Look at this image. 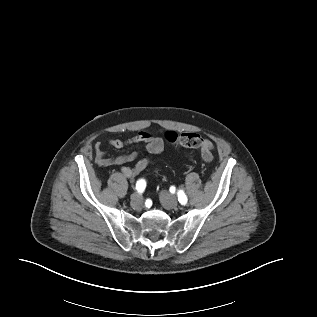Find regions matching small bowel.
<instances>
[{"instance_id":"small-bowel-1","label":"small bowel","mask_w":317,"mask_h":317,"mask_svg":"<svg viewBox=\"0 0 317 317\" xmlns=\"http://www.w3.org/2000/svg\"><path fill=\"white\" fill-rule=\"evenodd\" d=\"M143 143L146 144L150 152L156 154L160 153L164 149V141L160 137L153 136L147 131H140L137 135L128 139L111 138L108 140V144L116 149H121L129 145ZM212 143L203 139V143L200 146V152L204 160L210 161L212 159ZM139 153L132 151L127 154L119 155L117 157L108 156L102 148L101 144L95 147V163L99 167H111L121 166V173L127 178L136 177L141 171H143L149 164L148 158L139 159ZM137 160L133 167L126 166L125 164L131 161Z\"/></svg>"}]
</instances>
